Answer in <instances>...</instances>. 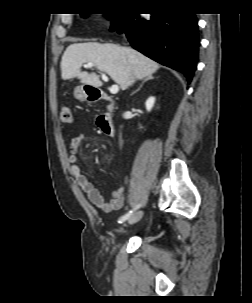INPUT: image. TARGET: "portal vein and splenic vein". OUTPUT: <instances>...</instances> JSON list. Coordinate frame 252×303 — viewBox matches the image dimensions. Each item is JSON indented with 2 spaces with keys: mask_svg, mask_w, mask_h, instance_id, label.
Here are the masks:
<instances>
[{
  "mask_svg": "<svg viewBox=\"0 0 252 303\" xmlns=\"http://www.w3.org/2000/svg\"><path fill=\"white\" fill-rule=\"evenodd\" d=\"M93 66V63H87L84 65L85 68H91ZM102 78L105 81H108V77L105 74H102ZM119 92V86L118 85H113L110 88V93L111 94H117Z\"/></svg>",
  "mask_w": 252,
  "mask_h": 303,
  "instance_id": "18ae733b",
  "label": "portal vein and splenic vein"
}]
</instances>
